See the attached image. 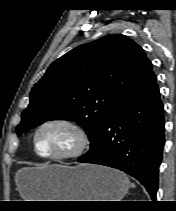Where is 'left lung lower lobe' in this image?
I'll return each mask as SVG.
<instances>
[{"mask_svg":"<svg viewBox=\"0 0 176 211\" xmlns=\"http://www.w3.org/2000/svg\"><path fill=\"white\" fill-rule=\"evenodd\" d=\"M164 143L163 104L155 83L112 113L95 144L78 162L120 169L140 181L154 200Z\"/></svg>","mask_w":176,"mask_h":211,"instance_id":"left-lung-lower-lobe-1","label":"left lung lower lobe"}]
</instances>
